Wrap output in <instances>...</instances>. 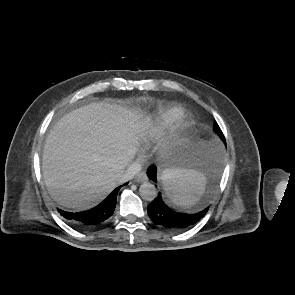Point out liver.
I'll list each match as a JSON object with an SVG mask.
<instances>
[{"instance_id":"obj_1","label":"liver","mask_w":295,"mask_h":295,"mask_svg":"<svg viewBox=\"0 0 295 295\" xmlns=\"http://www.w3.org/2000/svg\"><path fill=\"white\" fill-rule=\"evenodd\" d=\"M150 119L110 103H91L62 117L45 141L42 170L60 205L85 210L121 183Z\"/></svg>"}]
</instances>
